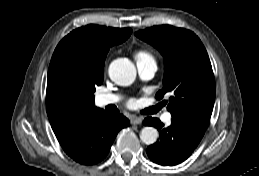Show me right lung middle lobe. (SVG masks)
Listing matches in <instances>:
<instances>
[{
    "label": "right lung middle lobe",
    "instance_id": "obj_1",
    "mask_svg": "<svg viewBox=\"0 0 259 176\" xmlns=\"http://www.w3.org/2000/svg\"><path fill=\"white\" fill-rule=\"evenodd\" d=\"M103 82V77L102 78H99V79H94L93 80V86H99L101 85Z\"/></svg>",
    "mask_w": 259,
    "mask_h": 176
}]
</instances>
